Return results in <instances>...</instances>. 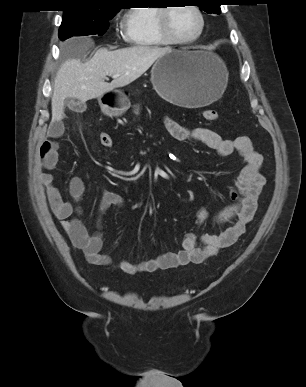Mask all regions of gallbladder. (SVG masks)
<instances>
[{"label":"gallbladder","mask_w":306,"mask_h":387,"mask_svg":"<svg viewBox=\"0 0 306 387\" xmlns=\"http://www.w3.org/2000/svg\"><path fill=\"white\" fill-rule=\"evenodd\" d=\"M65 105L68 106L72 110H76L77 103L74 101V99L67 98L65 100Z\"/></svg>","instance_id":"1"}]
</instances>
